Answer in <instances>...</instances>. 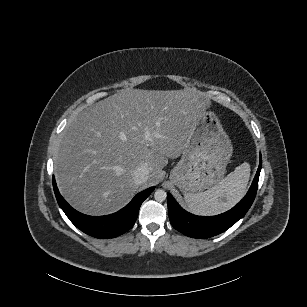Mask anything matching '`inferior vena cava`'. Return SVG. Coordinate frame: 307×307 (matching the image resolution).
Wrapping results in <instances>:
<instances>
[{
    "mask_svg": "<svg viewBox=\"0 0 307 307\" xmlns=\"http://www.w3.org/2000/svg\"><path fill=\"white\" fill-rule=\"evenodd\" d=\"M149 168L147 164H141L133 173V180L136 185H141L148 180Z\"/></svg>",
    "mask_w": 307,
    "mask_h": 307,
    "instance_id": "1",
    "label": "inferior vena cava"
}]
</instances>
